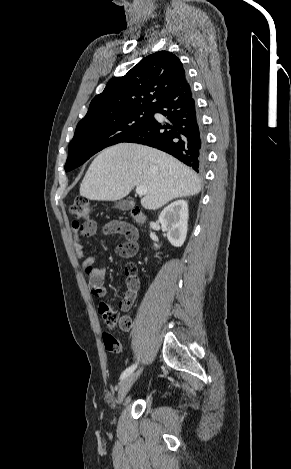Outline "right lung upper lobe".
Wrapping results in <instances>:
<instances>
[{
	"label": "right lung upper lobe",
	"instance_id": "cb5924a9",
	"mask_svg": "<svg viewBox=\"0 0 291 469\" xmlns=\"http://www.w3.org/2000/svg\"><path fill=\"white\" fill-rule=\"evenodd\" d=\"M187 86L179 58L173 53L159 51L143 58L125 76L113 77L104 91L93 98L82 120L105 118L135 109L153 110L170 92Z\"/></svg>",
	"mask_w": 291,
	"mask_h": 469
}]
</instances>
